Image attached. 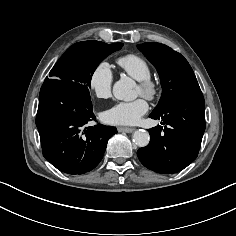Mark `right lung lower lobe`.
Wrapping results in <instances>:
<instances>
[{
	"mask_svg": "<svg viewBox=\"0 0 236 236\" xmlns=\"http://www.w3.org/2000/svg\"><path fill=\"white\" fill-rule=\"evenodd\" d=\"M90 97L74 89L70 82L43 83L36 116L44 157L67 174H83L101 161L116 127L95 125Z\"/></svg>",
	"mask_w": 236,
	"mask_h": 236,
	"instance_id": "98d812e1",
	"label": "right lung lower lobe"
}]
</instances>
